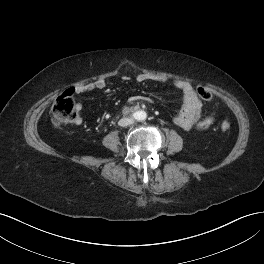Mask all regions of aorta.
Returning <instances> with one entry per match:
<instances>
[{"instance_id":"obj_1","label":"aorta","mask_w":264,"mask_h":264,"mask_svg":"<svg viewBox=\"0 0 264 264\" xmlns=\"http://www.w3.org/2000/svg\"><path fill=\"white\" fill-rule=\"evenodd\" d=\"M147 118V113L143 110L137 111L135 113V119L138 121H144Z\"/></svg>"}]
</instances>
